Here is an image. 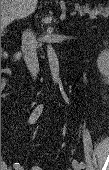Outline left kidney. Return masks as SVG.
<instances>
[{
  "mask_svg": "<svg viewBox=\"0 0 109 170\" xmlns=\"http://www.w3.org/2000/svg\"><path fill=\"white\" fill-rule=\"evenodd\" d=\"M97 66L102 74H106L109 70V54L105 50L103 51L97 59Z\"/></svg>",
  "mask_w": 109,
  "mask_h": 170,
  "instance_id": "left-kidney-1",
  "label": "left kidney"
}]
</instances>
